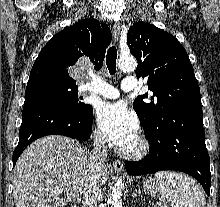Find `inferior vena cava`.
<instances>
[{"mask_svg":"<svg viewBox=\"0 0 220 207\" xmlns=\"http://www.w3.org/2000/svg\"><path fill=\"white\" fill-rule=\"evenodd\" d=\"M93 145L94 149L89 153V163L93 176L83 191L82 207H98V201L101 197L97 173L104 166L107 158L106 137L101 133H96Z\"/></svg>","mask_w":220,"mask_h":207,"instance_id":"602c4592","label":"inferior vena cava"}]
</instances>
